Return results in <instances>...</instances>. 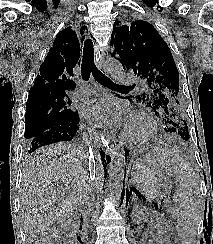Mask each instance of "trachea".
Masks as SVG:
<instances>
[{"instance_id":"obj_1","label":"trachea","mask_w":213,"mask_h":244,"mask_svg":"<svg viewBox=\"0 0 213 244\" xmlns=\"http://www.w3.org/2000/svg\"><path fill=\"white\" fill-rule=\"evenodd\" d=\"M82 78L85 81L89 80L90 74L92 73L95 80L108 87V88H122L126 87L123 85H117L113 83L108 77H106L102 72H100L94 63V46L91 39H87L84 42L83 48V59L81 64Z\"/></svg>"}]
</instances>
